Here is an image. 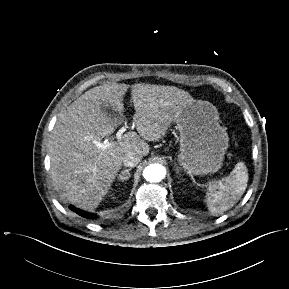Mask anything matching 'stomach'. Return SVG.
Wrapping results in <instances>:
<instances>
[{
    "mask_svg": "<svg viewBox=\"0 0 289 289\" xmlns=\"http://www.w3.org/2000/svg\"><path fill=\"white\" fill-rule=\"evenodd\" d=\"M175 122L180 133V166L193 175L217 172L229 137L220 126L216 107L207 101L194 100L182 107Z\"/></svg>",
    "mask_w": 289,
    "mask_h": 289,
    "instance_id": "1",
    "label": "stomach"
}]
</instances>
